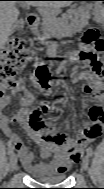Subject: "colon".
Here are the masks:
<instances>
[{"instance_id":"5ec220e1","label":"colon","mask_w":104,"mask_h":189,"mask_svg":"<svg viewBox=\"0 0 104 189\" xmlns=\"http://www.w3.org/2000/svg\"><path fill=\"white\" fill-rule=\"evenodd\" d=\"M82 51L80 59L88 61L93 70L101 72V62L99 54L104 50V41L94 28H89L83 35ZM33 51L27 42L21 38H13L9 43L8 49L4 52L3 60L0 65V94L4 97L9 92L17 91L23 88L26 80L19 74L29 65L33 59ZM35 79L38 85L44 90L49 89L51 71L46 65H40L35 71ZM91 114L94 119L102 117V108L100 105H94L91 108ZM33 129L45 141L51 140V132L48 124L41 119H32Z\"/></svg>"}]
</instances>
